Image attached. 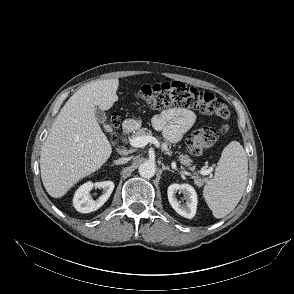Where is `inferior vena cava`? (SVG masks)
<instances>
[{"instance_id":"inferior-vena-cava-1","label":"inferior vena cava","mask_w":294,"mask_h":294,"mask_svg":"<svg viewBox=\"0 0 294 294\" xmlns=\"http://www.w3.org/2000/svg\"><path fill=\"white\" fill-rule=\"evenodd\" d=\"M129 160H130V158H128V157H122V158L116 160L115 162H116L117 164H125V163H127Z\"/></svg>"}]
</instances>
